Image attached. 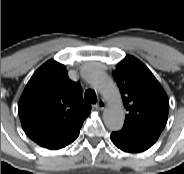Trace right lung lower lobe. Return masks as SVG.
Masks as SVG:
<instances>
[{"label":"right lung lower lobe","mask_w":184,"mask_h":174,"mask_svg":"<svg viewBox=\"0 0 184 174\" xmlns=\"http://www.w3.org/2000/svg\"><path fill=\"white\" fill-rule=\"evenodd\" d=\"M81 126L78 127L77 129H75L74 131H72L71 134L69 136H67L65 139H63L60 142L54 144L53 146L49 147L48 149H54V150L55 149H60V148H63L65 146L69 145L70 143H72L78 137Z\"/></svg>","instance_id":"98d812e1"}]
</instances>
